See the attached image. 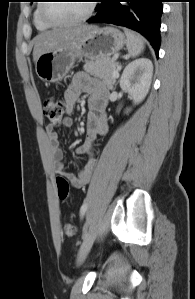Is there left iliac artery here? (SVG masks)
I'll return each instance as SVG.
<instances>
[{"mask_svg":"<svg viewBox=\"0 0 195 299\" xmlns=\"http://www.w3.org/2000/svg\"><path fill=\"white\" fill-rule=\"evenodd\" d=\"M87 203H84L82 206H81V209H80V216H83L87 210Z\"/></svg>","mask_w":195,"mask_h":299,"instance_id":"obj_1","label":"left iliac artery"}]
</instances>
